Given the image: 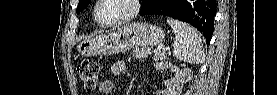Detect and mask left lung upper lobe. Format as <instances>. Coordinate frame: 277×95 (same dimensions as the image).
Wrapping results in <instances>:
<instances>
[{
    "label": "left lung upper lobe",
    "instance_id": "left-lung-upper-lobe-1",
    "mask_svg": "<svg viewBox=\"0 0 277 95\" xmlns=\"http://www.w3.org/2000/svg\"><path fill=\"white\" fill-rule=\"evenodd\" d=\"M91 0H79V4L77 7V14H79L81 11H83L88 4L90 3ZM151 0H142V6H141V10L150 2Z\"/></svg>",
    "mask_w": 277,
    "mask_h": 95
}]
</instances>
